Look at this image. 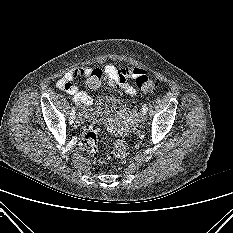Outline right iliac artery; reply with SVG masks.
I'll use <instances>...</instances> for the list:
<instances>
[{
  "instance_id": "right-iliac-artery-1",
  "label": "right iliac artery",
  "mask_w": 233,
  "mask_h": 233,
  "mask_svg": "<svg viewBox=\"0 0 233 233\" xmlns=\"http://www.w3.org/2000/svg\"><path fill=\"white\" fill-rule=\"evenodd\" d=\"M74 119H75V107H73L70 111V117H69L70 124L73 123Z\"/></svg>"
}]
</instances>
